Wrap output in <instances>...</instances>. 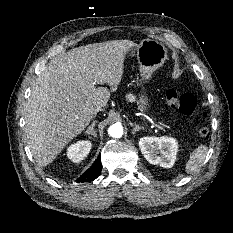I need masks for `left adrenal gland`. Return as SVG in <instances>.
<instances>
[{"label":"left adrenal gland","instance_id":"a2214340","mask_svg":"<svg viewBox=\"0 0 233 233\" xmlns=\"http://www.w3.org/2000/svg\"><path fill=\"white\" fill-rule=\"evenodd\" d=\"M131 126H134L133 128V131H132V134L134 135L137 131L143 129V127L139 126L138 124L136 123H130Z\"/></svg>","mask_w":233,"mask_h":233}]
</instances>
